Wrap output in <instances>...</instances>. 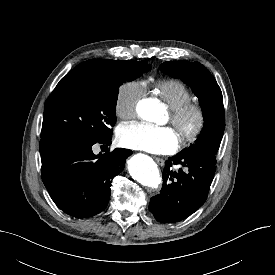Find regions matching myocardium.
<instances>
[{
  "mask_svg": "<svg viewBox=\"0 0 275 275\" xmlns=\"http://www.w3.org/2000/svg\"><path fill=\"white\" fill-rule=\"evenodd\" d=\"M205 122V112L198 103L189 102L170 111V123L179 133L181 146L195 141L203 131Z\"/></svg>",
  "mask_w": 275,
  "mask_h": 275,
  "instance_id": "obj_1",
  "label": "myocardium"
}]
</instances>
